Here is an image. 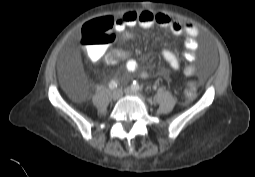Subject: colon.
<instances>
[{"label": "colon", "instance_id": "obj_1", "mask_svg": "<svg viewBox=\"0 0 255 177\" xmlns=\"http://www.w3.org/2000/svg\"><path fill=\"white\" fill-rule=\"evenodd\" d=\"M82 39L90 48L108 46L114 39L111 33V24L105 17L87 22L82 28ZM195 96V86H189L186 90V98L192 100Z\"/></svg>", "mask_w": 255, "mask_h": 177}]
</instances>
